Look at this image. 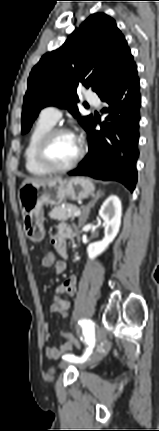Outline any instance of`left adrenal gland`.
Wrapping results in <instances>:
<instances>
[{"label": "left adrenal gland", "mask_w": 159, "mask_h": 431, "mask_svg": "<svg viewBox=\"0 0 159 431\" xmlns=\"http://www.w3.org/2000/svg\"><path fill=\"white\" fill-rule=\"evenodd\" d=\"M103 193L99 190L92 201L83 209V214L80 217L79 225H83L89 217L90 209L95 205V203L101 198Z\"/></svg>", "instance_id": "1"}]
</instances>
